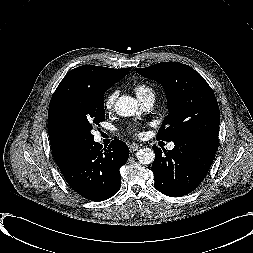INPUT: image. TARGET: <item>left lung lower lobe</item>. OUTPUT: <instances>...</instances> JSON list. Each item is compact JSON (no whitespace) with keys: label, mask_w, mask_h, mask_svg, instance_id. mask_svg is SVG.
I'll return each mask as SVG.
<instances>
[{"label":"left lung lower lobe","mask_w":253,"mask_h":253,"mask_svg":"<svg viewBox=\"0 0 253 253\" xmlns=\"http://www.w3.org/2000/svg\"><path fill=\"white\" fill-rule=\"evenodd\" d=\"M173 150L152 146L155 188L170 197H181L196 189L206 177L218 146V139L196 137L174 142Z\"/></svg>","instance_id":"obj_1"}]
</instances>
